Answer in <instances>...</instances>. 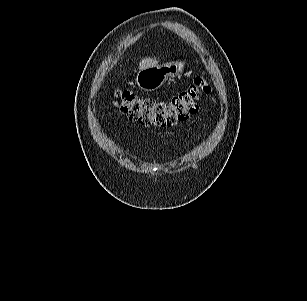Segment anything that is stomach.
<instances>
[{
    "mask_svg": "<svg viewBox=\"0 0 307 301\" xmlns=\"http://www.w3.org/2000/svg\"><path fill=\"white\" fill-rule=\"evenodd\" d=\"M184 66L185 62L183 61H173L164 65L146 67L137 73L135 83L144 91H154L168 79L180 76Z\"/></svg>",
    "mask_w": 307,
    "mask_h": 301,
    "instance_id": "0dacf381",
    "label": "stomach"
}]
</instances>
